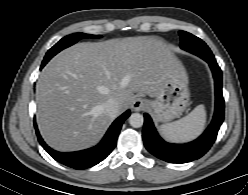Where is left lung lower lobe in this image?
<instances>
[{
	"label": "left lung lower lobe",
	"instance_id": "obj_1",
	"mask_svg": "<svg viewBox=\"0 0 248 195\" xmlns=\"http://www.w3.org/2000/svg\"><path fill=\"white\" fill-rule=\"evenodd\" d=\"M213 73L215 82V112L211 124L196 140L186 144H172L164 141L157 133L151 117L144 114L143 141L146 149L161 160L169 163H187L202 157L213 145L224 120V99L222 95V72L214 56L199 51Z\"/></svg>",
	"mask_w": 248,
	"mask_h": 195
}]
</instances>
